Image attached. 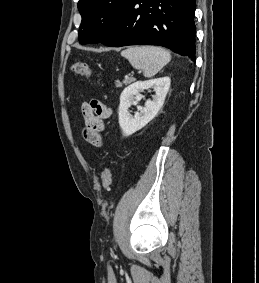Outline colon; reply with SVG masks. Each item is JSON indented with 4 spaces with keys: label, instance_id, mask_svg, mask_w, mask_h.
Masks as SVG:
<instances>
[{
    "label": "colon",
    "instance_id": "obj_1",
    "mask_svg": "<svg viewBox=\"0 0 259 283\" xmlns=\"http://www.w3.org/2000/svg\"><path fill=\"white\" fill-rule=\"evenodd\" d=\"M71 71L75 75H80L88 78L93 76V70L85 62H74L71 66ZM101 181L104 191L107 192L110 189V185L112 183V170L108 165L104 167L101 175Z\"/></svg>",
    "mask_w": 259,
    "mask_h": 283
}]
</instances>
